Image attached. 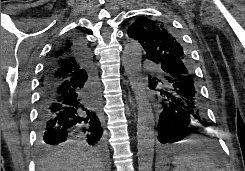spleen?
Returning <instances> with one entry per match:
<instances>
[{"instance_id":"3e777b00","label":"spleen","mask_w":245,"mask_h":171,"mask_svg":"<svg viewBox=\"0 0 245 171\" xmlns=\"http://www.w3.org/2000/svg\"><path fill=\"white\" fill-rule=\"evenodd\" d=\"M173 171H220L216 163L202 151H189L175 157Z\"/></svg>"}]
</instances>
